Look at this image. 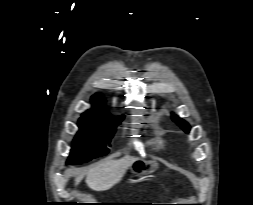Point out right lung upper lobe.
I'll use <instances>...</instances> for the list:
<instances>
[{
    "mask_svg": "<svg viewBox=\"0 0 253 205\" xmlns=\"http://www.w3.org/2000/svg\"><path fill=\"white\" fill-rule=\"evenodd\" d=\"M91 100L93 103V108L85 112L83 114L84 116L95 118H107L111 116L104 108V98L101 95L95 94L92 96Z\"/></svg>",
    "mask_w": 253,
    "mask_h": 205,
    "instance_id": "obj_1",
    "label": "right lung upper lobe"
}]
</instances>
